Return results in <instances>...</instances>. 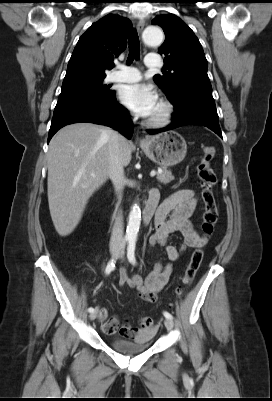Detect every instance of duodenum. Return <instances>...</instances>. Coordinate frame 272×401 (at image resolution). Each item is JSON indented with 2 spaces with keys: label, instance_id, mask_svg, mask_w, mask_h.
Wrapping results in <instances>:
<instances>
[{
  "label": "duodenum",
  "instance_id": "1",
  "mask_svg": "<svg viewBox=\"0 0 272 401\" xmlns=\"http://www.w3.org/2000/svg\"><path fill=\"white\" fill-rule=\"evenodd\" d=\"M159 194L158 192H150L149 198L146 202L145 209L143 211V222L145 225H149L153 219L155 211L157 209Z\"/></svg>",
  "mask_w": 272,
  "mask_h": 401
}]
</instances>
